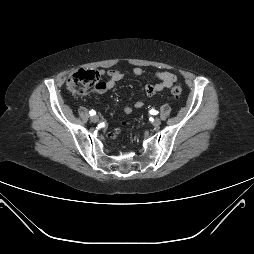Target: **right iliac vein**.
<instances>
[{
  "label": "right iliac vein",
  "mask_w": 254,
  "mask_h": 254,
  "mask_svg": "<svg viewBox=\"0 0 254 254\" xmlns=\"http://www.w3.org/2000/svg\"><path fill=\"white\" fill-rule=\"evenodd\" d=\"M91 122L97 123L99 121V117L97 115H93L90 117Z\"/></svg>",
  "instance_id": "63e3f726"
}]
</instances>
